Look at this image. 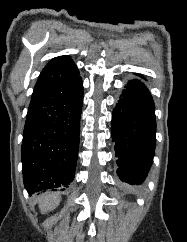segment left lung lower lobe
Masks as SVG:
<instances>
[{"label": "left lung lower lobe", "instance_id": "obj_1", "mask_svg": "<svg viewBox=\"0 0 187 242\" xmlns=\"http://www.w3.org/2000/svg\"><path fill=\"white\" fill-rule=\"evenodd\" d=\"M155 106L139 80L125 85L112 114L111 136L119 178L130 185L144 182L155 151Z\"/></svg>", "mask_w": 187, "mask_h": 242}]
</instances>
